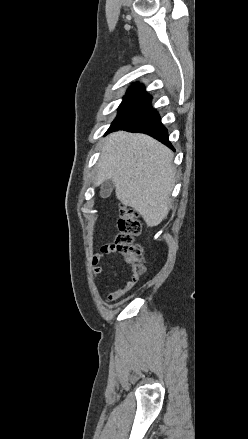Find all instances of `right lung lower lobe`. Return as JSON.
Returning a JSON list of instances; mask_svg holds the SVG:
<instances>
[{
    "label": "right lung lower lobe",
    "mask_w": 248,
    "mask_h": 439,
    "mask_svg": "<svg viewBox=\"0 0 248 439\" xmlns=\"http://www.w3.org/2000/svg\"><path fill=\"white\" fill-rule=\"evenodd\" d=\"M117 130L148 134L173 149L168 140V132L161 123L158 112L151 106V103L121 122L111 126L107 133Z\"/></svg>",
    "instance_id": "obj_1"
}]
</instances>
